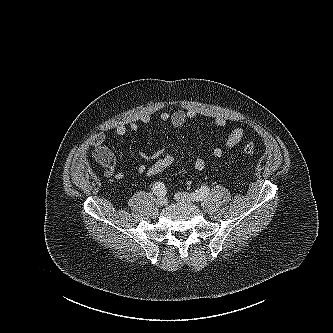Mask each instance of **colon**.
<instances>
[{
  "mask_svg": "<svg viewBox=\"0 0 333 333\" xmlns=\"http://www.w3.org/2000/svg\"><path fill=\"white\" fill-rule=\"evenodd\" d=\"M243 151L247 155H253L255 147L252 143H247L243 146ZM174 162L175 157L171 153H164L147 166L145 174L150 177H157L168 170Z\"/></svg>",
  "mask_w": 333,
  "mask_h": 333,
  "instance_id": "5ec220e1",
  "label": "colon"
}]
</instances>
